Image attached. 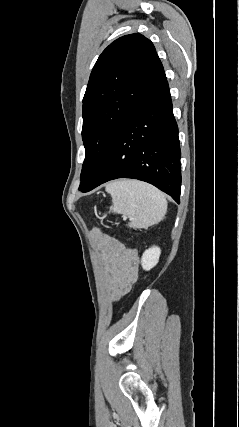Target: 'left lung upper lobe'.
Returning a JSON list of instances; mask_svg holds the SVG:
<instances>
[{"label": "left lung upper lobe", "mask_w": 239, "mask_h": 427, "mask_svg": "<svg viewBox=\"0 0 239 427\" xmlns=\"http://www.w3.org/2000/svg\"><path fill=\"white\" fill-rule=\"evenodd\" d=\"M165 81L155 47L141 34L122 36L102 52L83 98L80 191L92 182L125 122Z\"/></svg>", "instance_id": "obj_1"}]
</instances>
